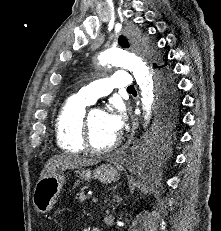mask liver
I'll list each match as a JSON object with an SVG mask.
<instances>
[{
  "instance_id": "liver-1",
  "label": "liver",
  "mask_w": 221,
  "mask_h": 231,
  "mask_svg": "<svg viewBox=\"0 0 221 231\" xmlns=\"http://www.w3.org/2000/svg\"><path fill=\"white\" fill-rule=\"evenodd\" d=\"M98 161L86 157H80L75 155H56L50 158L43 170L41 171L40 178L52 175L58 171H63L66 169H74L82 166H89L96 164Z\"/></svg>"
}]
</instances>
